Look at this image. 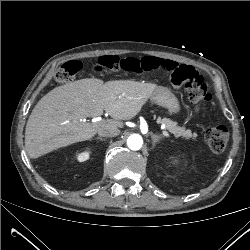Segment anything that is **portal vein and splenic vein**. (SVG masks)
I'll return each instance as SVG.
<instances>
[{"mask_svg":"<svg viewBox=\"0 0 250 250\" xmlns=\"http://www.w3.org/2000/svg\"><path fill=\"white\" fill-rule=\"evenodd\" d=\"M163 135L166 136V137H171L170 134L167 132V131H163Z\"/></svg>","mask_w":250,"mask_h":250,"instance_id":"portal-vein-and-splenic-vein-1","label":"portal vein and splenic vein"}]
</instances>
